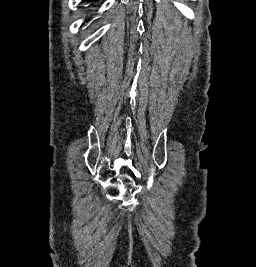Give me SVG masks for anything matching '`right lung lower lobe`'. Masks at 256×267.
I'll list each match as a JSON object with an SVG mask.
<instances>
[{"label":"right lung lower lobe","instance_id":"1","mask_svg":"<svg viewBox=\"0 0 256 267\" xmlns=\"http://www.w3.org/2000/svg\"><path fill=\"white\" fill-rule=\"evenodd\" d=\"M84 1H97V0H84Z\"/></svg>","mask_w":256,"mask_h":267}]
</instances>
